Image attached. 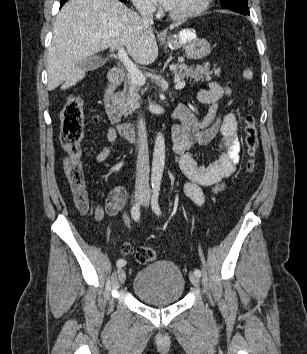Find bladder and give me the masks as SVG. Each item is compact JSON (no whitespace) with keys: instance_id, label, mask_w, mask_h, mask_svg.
Returning <instances> with one entry per match:
<instances>
[{"instance_id":"1","label":"bladder","mask_w":307,"mask_h":354,"mask_svg":"<svg viewBox=\"0 0 307 354\" xmlns=\"http://www.w3.org/2000/svg\"><path fill=\"white\" fill-rule=\"evenodd\" d=\"M185 290L179 267L167 260L152 262L140 269L133 280V292L143 302L165 306L178 302Z\"/></svg>"}]
</instances>
